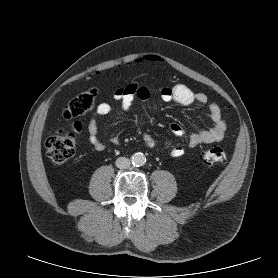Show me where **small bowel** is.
I'll return each instance as SVG.
<instances>
[{"mask_svg":"<svg viewBox=\"0 0 278 278\" xmlns=\"http://www.w3.org/2000/svg\"><path fill=\"white\" fill-rule=\"evenodd\" d=\"M158 94L164 102H174L181 106L199 104L207 108L212 120V125L208 128L190 134L189 145L191 147L217 142L224 137L227 124L222 115L221 108L216 103H209L206 94L202 92H194L182 83H178L170 87L161 86L158 88ZM150 97V88L136 82L117 88L113 94V98L120 102L121 108L124 111H128L131 108L135 99L148 101ZM111 110L112 106L108 102L98 104L88 124V141L98 151H103L105 149V145L98 137L97 118L109 114ZM170 131L175 136H183L185 134L183 126L179 123L171 124ZM119 138L120 134L114 135L111 137V142L113 144H118ZM143 141L150 148H155L157 146L156 140L149 133L143 134ZM169 154L174 158H179L184 154V148L180 145H175L171 147Z\"/></svg>","mask_w":278,"mask_h":278,"instance_id":"c3829d8e","label":"small bowel"}]
</instances>
